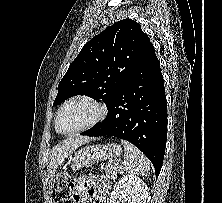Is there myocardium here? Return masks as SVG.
Listing matches in <instances>:
<instances>
[{
	"mask_svg": "<svg viewBox=\"0 0 222 203\" xmlns=\"http://www.w3.org/2000/svg\"><path fill=\"white\" fill-rule=\"evenodd\" d=\"M76 101H85L88 102L90 104H92L96 109H97V115L96 117L88 124L73 130V131H69V132H65L63 130L60 129L59 127V118L60 115L62 113V111L71 103L76 102ZM107 115V107L100 102L99 100H97L96 98L92 97V96H88V95H77L74 97H71L70 99H68L66 102L63 103V105L60 107V109L58 110V113L56 115L55 118V128L56 130L63 134V135H75L81 132H84L86 130H89L91 128H93L94 126H96L98 123H100Z\"/></svg>",
	"mask_w": 222,
	"mask_h": 203,
	"instance_id": "1",
	"label": "myocardium"
}]
</instances>
